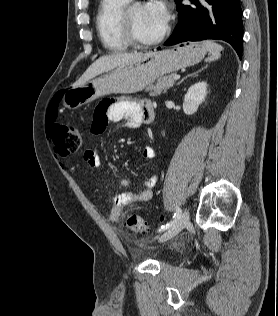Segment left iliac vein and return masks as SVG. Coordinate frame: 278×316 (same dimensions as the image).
<instances>
[{
    "instance_id": "4c4485c4",
    "label": "left iliac vein",
    "mask_w": 278,
    "mask_h": 316,
    "mask_svg": "<svg viewBox=\"0 0 278 316\" xmlns=\"http://www.w3.org/2000/svg\"><path fill=\"white\" fill-rule=\"evenodd\" d=\"M189 222V212L185 209L179 220L173 224L164 234L159 238V242H166L175 237L182 231Z\"/></svg>"
}]
</instances>
